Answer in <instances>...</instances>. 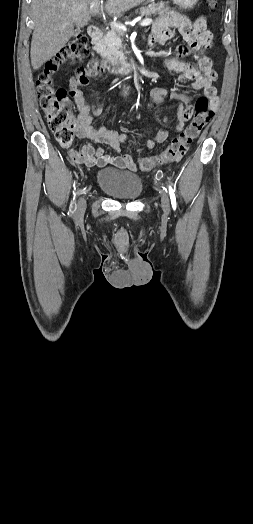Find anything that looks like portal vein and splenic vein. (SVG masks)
I'll list each match as a JSON object with an SVG mask.
<instances>
[{
	"mask_svg": "<svg viewBox=\"0 0 253 524\" xmlns=\"http://www.w3.org/2000/svg\"><path fill=\"white\" fill-rule=\"evenodd\" d=\"M99 5L100 4L96 3V2L90 3V10L91 11H96L99 8ZM152 22H153V20L151 18H145L144 20L141 21L140 25L141 26H148V25H151ZM110 26L113 27V28H116L118 30L127 31L126 26H124L121 23L110 22Z\"/></svg>",
	"mask_w": 253,
	"mask_h": 524,
	"instance_id": "18ae733b",
	"label": "portal vein and splenic vein"
}]
</instances>
